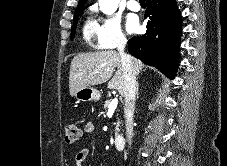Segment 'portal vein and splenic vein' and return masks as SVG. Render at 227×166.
Listing matches in <instances>:
<instances>
[{
    "label": "portal vein and splenic vein",
    "instance_id": "18ae733b",
    "mask_svg": "<svg viewBox=\"0 0 227 166\" xmlns=\"http://www.w3.org/2000/svg\"><path fill=\"white\" fill-rule=\"evenodd\" d=\"M117 105H118V99L117 98H114L111 103L109 104L108 106V110L109 111H114L116 108H117Z\"/></svg>",
    "mask_w": 227,
    "mask_h": 166
}]
</instances>
